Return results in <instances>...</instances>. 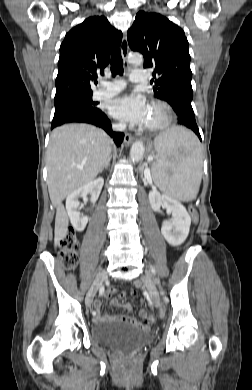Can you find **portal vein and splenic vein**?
I'll return each instance as SVG.
<instances>
[{"mask_svg":"<svg viewBox=\"0 0 252 390\" xmlns=\"http://www.w3.org/2000/svg\"><path fill=\"white\" fill-rule=\"evenodd\" d=\"M148 160H149V161H152L153 158L150 157V158H148ZM145 173H146V174L149 176V178H150V171H149L148 169L145 171Z\"/></svg>","mask_w":252,"mask_h":390,"instance_id":"1","label":"portal vein and splenic vein"}]
</instances>
